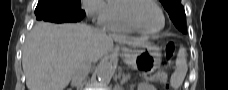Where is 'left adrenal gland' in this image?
<instances>
[{"mask_svg":"<svg viewBox=\"0 0 228 90\" xmlns=\"http://www.w3.org/2000/svg\"><path fill=\"white\" fill-rule=\"evenodd\" d=\"M121 77H122V79H121ZM118 79L120 80L121 85H123L128 81L129 75H122L121 73H119Z\"/></svg>","mask_w":228,"mask_h":90,"instance_id":"1","label":"left adrenal gland"}]
</instances>
